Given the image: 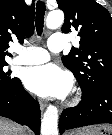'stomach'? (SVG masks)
I'll return each mask as SVG.
<instances>
[{"mask_svg":"<svg viewBox=\"0 0 112 135\" xmlns=\"http://www.w3.org/2000/svg\"><path fill=\"white\" fill-rule=\"evenodd\" d=\"M112 134V126L109 125H94L70 132L68 135H110Z\"/></svg>","mask_w":112,"mask_h":135,"instance_id":"stomach-1","label":"stomach"}]
</instances>
